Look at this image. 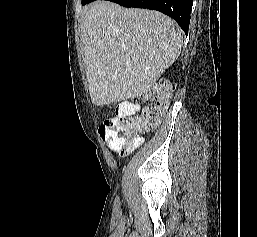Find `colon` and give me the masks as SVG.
Listing matches in <instances>:
<instances>
[{"instance_id":"obj_1","label":"colon","mask_w":257,"mask_h":237,"mask_svg":"<svg viewBox=\"0 0 257 237\" xmlns=\"http://www.w3.org/2000/svg\"><path fill=\"white\" fill-rule=\"evenodd\" d=\"M174 86L161 82L146 95L148 106L139 116L116 114L106 119L99 127L101 139L108 144H123L131 141L135 134L154 130L160 123L172 96Z\"/></svg>"}]
</instances>
